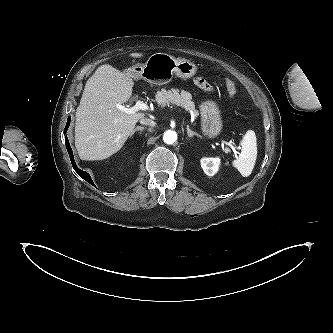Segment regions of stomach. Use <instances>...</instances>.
I'll list each match as a JSON object with an SVG mask.
<instances>
[{
  "label": "stomach",
  "instance_id": "obj_1",
  "mask_svg": "<svg viewBox=\"0 0 333 333\" xmlns=\"http://www.w3.org/2000/svg\"><path fill=\"white\" fill-rule=\"evenodd\" d=\"M129 74L137 79H143L150 84L164 85L173 76L189 79L197 72V66L183 58H175L166 53L151 55L146 63L135 64L128 69ZM201 129L210 139L217 137L223 128L218 105L213 100H205L200 104Z\"/></svg>",
  "mask_w": 333,
  "mask_h": 333
}]
</instances>
